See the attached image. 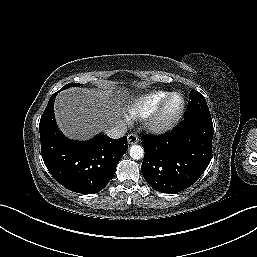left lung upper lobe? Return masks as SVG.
Segmentation results:
<instances>
[{"label":"left lung upper lobe","mask_w":257,"mask_h":257,"mask_svg":"<svg viewBox=\"0 0 257 257\" xmlns=\"http://www.w3.org/2000/svg\"><path fill=\"white\" fill-rule=\"evenodd\" d=\"M195 117L211 119L210 111L204 96L196 90H191L184 119Z\"/></svg>","instance_id":"left-lung-upper-lobe-1"}]
</instances>
